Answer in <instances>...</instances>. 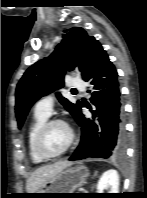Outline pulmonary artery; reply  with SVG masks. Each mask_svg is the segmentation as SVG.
<instances>
[{
  "label": "pulmonary artery",
  "mask_w": 147,
  "mask_h": 198,
  "mask_svg": "<svg viewBox=\"0 0 147 198\" xmlns=\"http://www.w3.org/2000/svg\"><path fill=\"white\" fill-rule=\"evenodd\" d=\"M70 87L79 89L81 91H84L85 89L84 83L78 78L71 80ZM53 105L54 97L52 95H48L37 102L35 105V113L44 116H50L53 111Z\"/></svg>",
  "instance_id": "pulmonary-artery-1"
}]
</instances>
